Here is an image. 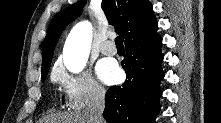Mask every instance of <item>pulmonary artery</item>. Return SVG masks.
<instances>
[{
    "label": "pulmonary artery",
    "instance_id": "obj_1",
    "mask_svg": "<svg viewBox=\"0 0 221 123\" xmlns=\"http://www.w3.org/2000/svg\"><path fill=\"white\" fill-rule=\"evenodd\" d=\"M100 50L105 55H115L117 52V49L114 45V43L111 40L105 41L101 47Z\"/></svg>",
    "mask_w": 221,
    "mask_h": 123
}]
</instances>
